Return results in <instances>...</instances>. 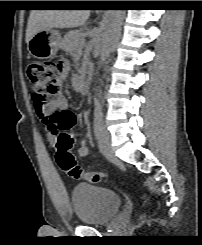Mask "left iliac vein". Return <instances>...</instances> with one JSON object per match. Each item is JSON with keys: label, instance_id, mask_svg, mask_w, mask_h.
Instances as JSON below:
<instances>
[{"label": "left iliac vein", "instance_id": "1", "mask_svg": "<svg viewBox=\"0 0 202 245\" xmlns=\"http://www.w3.org/2000/svg\"><path fill=\"white\" fill-rule=\"evenodd\" d=\"M96 137H97L98 147L100 149V152L103 154V156L106 157L107 159L114 158V153L111 146V136L108 130L104 126H101Z\"/></svg>", "mask_w": 202, "mask_h": 245}]
</instances>
